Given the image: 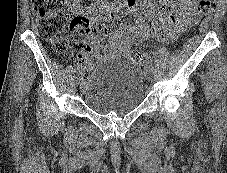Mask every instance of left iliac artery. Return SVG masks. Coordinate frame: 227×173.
Wrapping results in <instances>:
<instances>
[{
    "label": "left iliac artery",
    "instance_id": "1",
    "mask_svg": "<svg viewBox=\"0 0 227 173\" xmlns=\"http://www.w3.org/2000/svg\"><path fill=\"white\" fill-rule=\"evenodd\" d=\"M145 68H146V69H150L151 71L153 70L152 64H147Z\"/></svg>",
    "mask_w": 227,
    "mask_h": 173
}]
</instances>
